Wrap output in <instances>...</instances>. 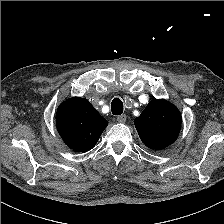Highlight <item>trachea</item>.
Here are the masks:
<instances>
[{
    "label": "trachea",
    "instance_id": "1",
    "mask_svg": "<svg viewBox=\"0 0 224 224\" xmlns=\"http://www.w3.org/2000/svg\"><path fill=\"white\" fill-rule=\"evenodd\" d=\"M111 110L113 115H121L123 113V103L119 98H114L111 103Z\"/></svg>",
    "mask_w": 224,
    "mask_h": 224
}]
</instances>
